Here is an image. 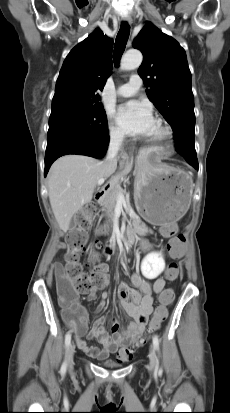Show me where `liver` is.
Segmentation results:
<instances>
[{"label":"liver","instance_id":"6515ba94","mask_svg":"<svg viewBox=\"0 0 230 413\" xmlns=\"http://www.w3.org/2000/svg\"><path fill=\"white\" fill-rule=\"evenodd\" d=\"M116 167L75 154L60 157L52 164L48 173V195L63 232L69 229L73 215L92 200L98 180L109 178Z\"/></svg>","mask_w":230,"mask_h":413}]
</instances>
